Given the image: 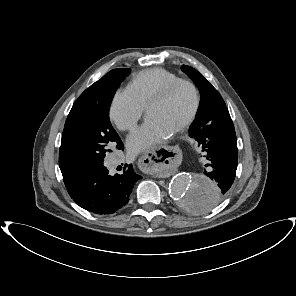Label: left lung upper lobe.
Masks as SVG:
<instances>
[{"label":"left lung upper lobe","mask_w":296,"mask_h":296,"mask_svg":"<svg viewBox=\"0 0 296 296\" xmlns=\"http://www.w3.org/2000/svg\"><path fill=\"white\" fill-rule=\"evenodd\" d=\"M181 69L192 79L201 94L196 118L189 128V136L194 138L200 145L199 134L201 129L210 124L217 115L223 112L226 109V105L219 92L197 70L187 65H183ZM205 204L206 206L209 205L208 202Z\"/></svg>","instance_id":"5c2ea615"}]
</instances>
